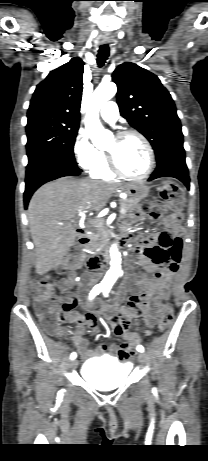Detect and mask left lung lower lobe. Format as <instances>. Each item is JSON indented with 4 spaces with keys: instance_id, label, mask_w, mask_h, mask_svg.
Masks as SVG:
<instances>
[{
    "instance_id": "1",
    "label": "left lung lower lobe",
    "mask_w": 208,
    "mask_h": 461,
    "mask_svg": "<svg viewBox=\"0 0 208 461\" xmlns=\"http://www.w3.org/2000/svg\"><path fill=\"white\" fill-rule=\"evenodd\" d=\"M160 177L177 178L189 189L190 179L188 168L185 163L184 151L169 153L166 157L157 162V167L148 180L151 181Z\"/></svg>"
}]
</instances>
